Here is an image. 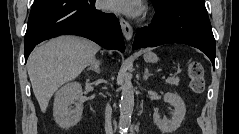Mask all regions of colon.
Segmentation results:
<instances>
[{"label": "colon", "mask_w": 239, "mask_h": 134, "mask_svg": "<svg viewBox=\"0 0 239 134\" xmlns=\"http://www.w3.org/2000/svg\"><path fill=\"white\" fill-rule=\"evenodd\" d=\"M191 90L199 94L204 90V68L198 61H191L188 66Z\"/></svg>", "instance_id": "1"}]
</instances>
